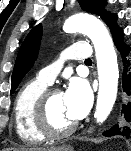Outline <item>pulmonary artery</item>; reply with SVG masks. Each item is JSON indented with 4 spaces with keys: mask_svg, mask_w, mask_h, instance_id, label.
<instances>
[{
    "mask_svg": "<svg viewBox=\"0 0 131 151\" xmlns=\"http://www.w3.org/2000/svg\"><path fill=\"white\" fill-rule=\"evenodd\" d=\"M92 55L91 47L88 43L79 41L69 45L63 51V58L71 59V60H78V61H85L86 59H90ZM61 63L57 62L50 66L43 68L39 74L38 79L46 84H51L55 77L57 76L58 72L60 71Z\"/></svg>",
    "mask_w": 131,
    "mask_h": 151,
    "instance_id": "1",
    "label": "pulmonary artery"
}]
</instances>
